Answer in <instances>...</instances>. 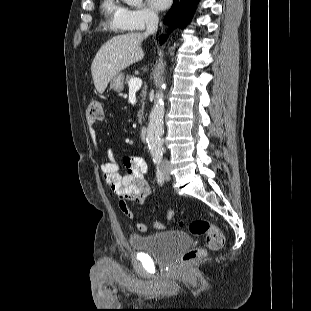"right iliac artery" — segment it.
<instances>
[{
	"label": "right iliac artery",
	"instance_id": "82829eb1",
	"mask_svg": "<svg viewBox=\"0 0 311 311\" xmlns=\"http://www.w3.org/2000/svg\"><path fill=\"white\" fill-rule=\"evenodd\" d=\"M156 163V166H157V172H156V177H157V182L160 184V185H163L164 183V173L161 169V161L160 160H155L154 161Z\"/></svg>",
	"mask_w": 311,
	"mask_h": 311
}]
</instances>
